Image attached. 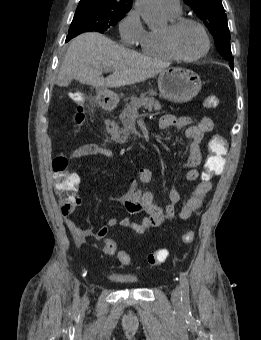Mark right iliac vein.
Returning <instances> with one entry per match:
<instances>
[{
    "mask_svg": "<svg viewBox=\"0 0 261 340\" xmlns=\"http://www.w3.org/2000/svg\"><path fill=\"white\" fill-rule=\"evenodd\" d=\"M84 300H87V298H86V297H84Z\"/></svg>",
    "mask_w": 261,
    "mask_h": 340,
    "instance_id": "63e3f726",
    "label": "right iliac vein"
}]
</instances>
